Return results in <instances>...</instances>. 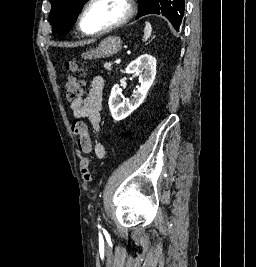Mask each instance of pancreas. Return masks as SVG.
<instances>
[{"instance_id": "pancreas-1", "label": "pancreas", "mask_w": 256, "mask_h": 267, "mask_svg": "<svg viewBox=\"0 0 256 267\" xmlns=\"http://www.w3.org/2000/svg\"><path fill=\"white\" fill-rule=\"evenodd\" d=\"M104 68L105 70H111V62H106V64H104Z\"/></svg>"}]
</instances>
